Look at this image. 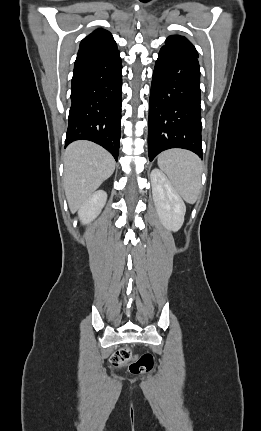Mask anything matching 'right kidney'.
I'll use <instances>...</instances> for the list:
<instances>
[{"label":"right kidney","instance_id":"1","mask_svg":"<svg viewBox=\"0 0 261 431\" xmlns=\"http://www.w3.org/2000/svg\"><path fill=\"white\" fill-rule=\"evenodd\" d=\"M107 200V193L103 190L94 192L78 211V216L82 224H89L101 212Z\"/></svg>","mask_w":261,"mask_h":431}]
</instances>
